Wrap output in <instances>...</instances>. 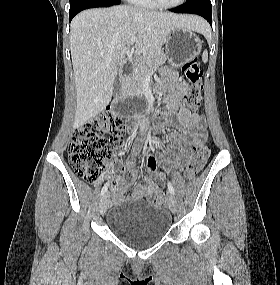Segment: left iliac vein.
Masks as SVG:
<instances>
[{"instance_id": "4c4485c4", "label": "left iliac vein", "mask_w": 280, "mask_h": 285, "mask_svg": "<svg viewBox=\"0 0 280 285\" xmlns=\"http://www.w3.org/2000/svg\"><path fill=\"white\" fill-rule=\"evenodd\" d=\"M168 207L173 214L177 212V202L172 194H170L168 197Z\"/></svg>"}]
</instances>
